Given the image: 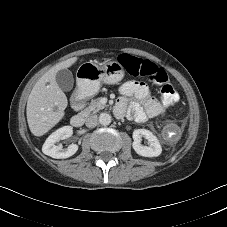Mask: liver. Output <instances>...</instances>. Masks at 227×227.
<instances>
[{"instance_id": "liver-1", "label": "liver", "mask_w": 227, "mask_h": 227, "mask_svg": "<svg viewBox=\"0 0 227 227\" xmlns=\"http://www.w3.org/2000/svg\"><path fill=\"white\" fill-rule=\"evenodd\" d=\"M77 57L60 62L43 74L34 85L27 101V122L34 136H42L65 115L67 97L56 82L59 70L71 67Z\"/></svg>"}]
</instances>
